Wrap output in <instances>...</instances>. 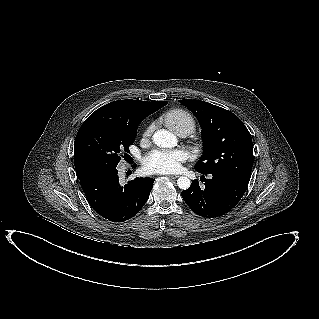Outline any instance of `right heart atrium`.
<instances>
[{
  "mask_svg": "<svg viewBox=\"0 0 319 319\" xmlns=\"http://www.w3.org/2000/svg\"><path fill=\"white\" fill-rule=\"evenodd\" d=\"M150 133H151V126H148L143 132V137L149 136Z\"/></svg>",
  "mask_w": 319,
  "mask_h": 319,
  "instance_id": "obj_1",
  "label": "right heart atrium"
}]
</instances>
